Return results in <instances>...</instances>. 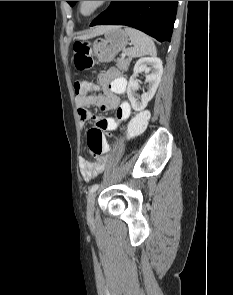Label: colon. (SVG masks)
Wrapping results in <instances>:
<instances>
[{
  "label": "colon",
  "instance_id": "5ec220e1",
  "mask_svg": "<svg viewBox=\"0 0 233 295\" xmlns=\"http://www.w3.org/2000/svg\"><path fill=\"white\" fill-rule=\"evenodd\" d=\"M74 64L80 70H88L93 66L90 56V49L87 42H75ZM77 95H87L97 90V85L87 81H77L74 84ZM149 114L147 111L139 112L128 125V135L133 137L140 134L146 127ZM87 145L93 156H99L108 151V144L105 141L103 131L100 128H91L87 133Z\"/></svg>",
  "mask_w": 233,
  "mask_h": 295
}]
</instances>
